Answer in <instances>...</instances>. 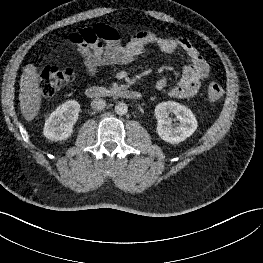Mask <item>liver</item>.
Masks as SVG:
<instances>
[{"label": "liver", "instance_id": "6515ba94", "mask_svg": "<svg viewBox=\"0 0 263 263\" xmlns=\"http://www.w3.org/2000/svg\"><path fill=\"white\" fill-rule=\"evenodd\" d=\"M40 76L33 64H28L20 79V108L25 120L32 121L41 108L42 90L39 86Z\"/></svg>", "mask_w": 263, "mask_h": 263}]
</instances>
